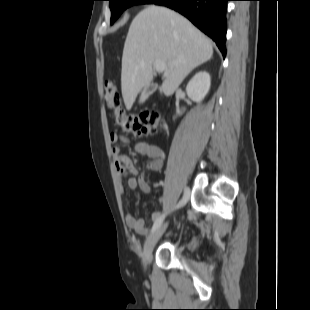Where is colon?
Segmentation results:
<instances>
[{
    "label": "colon",
    "instance_id": "colon-1",
    "mask_svg": "<svg viewBox=\"0 0 310 310\" xmlns=\"http://www.w3.org/2000/svg\"><path fill=\"white\" fill-rule=\"evenodd\" d=\"M104 89L106 103L113 111L114 123L121 131L136 136H144L158 129L161 123L159 112L128 113L121 107V98L117 86L113 82L107 81Z\"/></svg>",
    "mask_w": 310,
    "mask_h": 310
}]
</instances>
